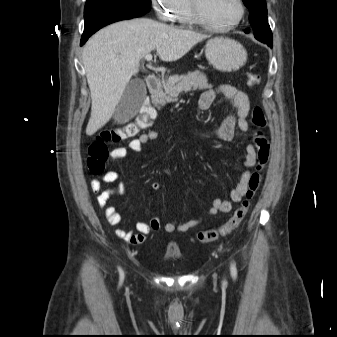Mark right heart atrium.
I'll return each instance as SVG.
<instances>
[{"mask_svg":"<svg viewBox=\"0 0 337 337\" xmlns=\"http://www.w3.org/2000/svg\"><path fill=\"white\" fill-rule=\"evenodd\" d=\"M158 17L163 21H174L181 0H151Z\"/></svg>","mask_w":337,"mask_h":337,"instance_id":"obj_1","label":"right heart atrium"}]
</instances>
